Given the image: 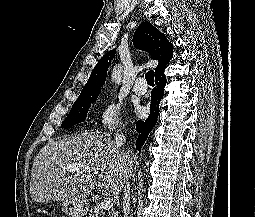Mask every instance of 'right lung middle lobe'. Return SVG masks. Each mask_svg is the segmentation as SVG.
Listing matches in <instances>:
<instances>
[{
    "label": "right lung middle lobe",
    "mask_w": 255,
    "mask_h": 217,
    "mask_svg": "<svg viewBox=\"0 0 255 217\" xmlns=\"http://www.w3.org/2000/svg\"><path fill=\"white\" fill-rule=\"evenodd\" d=\"M100 92L80 94L73 104L69 114L61 124V128H69L83 122L87 116L88 109L96 101Z\"/></svg>",
    "instance_id": "1"
}]
</instances>
